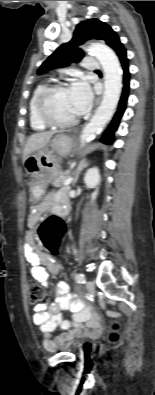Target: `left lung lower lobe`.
Returning <instances> with one entry per match:
<instances>
[{
	"mask_svg": "<svg viewBox=\"0 0 155 395\" xmlns=\"http://www.w3.org/2000/svg\"><path fill=\"white\" fill-rule=\"evenodd\" d=\"M119 60L123 72V89H122V94L120 97L117 112L115 113L111 124L109 125V127L107 128V130L105 131V133L101 138V141L107 144H111L114 140V132L116 131L119 125L120 118L122 117L126 109L129 90H130V72H129V61L127 55L122 54L121 56H119Z\"/></svg>",
	"mask_w": 155,
	"mask_h": 395,
	"instance_id": "obj_1",
	"label": "left lung lower lobe"
}]
</instances>
